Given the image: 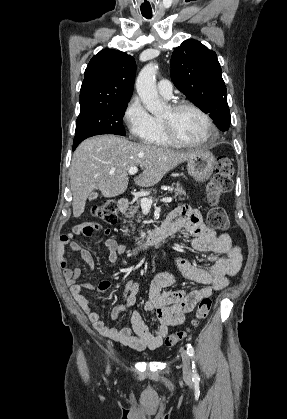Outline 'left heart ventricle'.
I'll list each match as a JSON object with an SVG mask.
<instances>
[{"label":"left heart ventricle","mask_w":287,"mask_h":419,"mask_svg":"<svg viewBox=\"0 0 287 419\" xmlns=\"http://www.w3.org/2000/svg\"><path fill=\"white\" fill-rule=\"evenodd\" d=\"M160 119L169 123L176 135L185 141L198 142L208 135L204 119L194 110L173 111L169 107Z\"/></svg>","instance_id":"obj_1"}]
</instances>
